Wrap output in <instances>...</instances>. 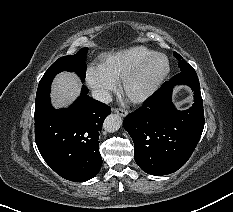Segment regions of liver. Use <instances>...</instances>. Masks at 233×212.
<instances>
[{"mask_svg":"<svg viewBox=\"0 0 233 212\" xmlns=\"http://www.w3.org/2000/svg\"><path fill=\"white\" fill-rule=\"evenodd\" d=\"M81 83L73 73L63 72L56 76L52 85V103L56 108H66L79 95Z\"/></svg>","mask_w":233,"mask_h":212,"instance_id":"liver-1","label":"liver"}]
</instances>
